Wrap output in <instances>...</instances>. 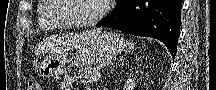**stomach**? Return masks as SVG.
Masks as SVG:
<instances>
[{
    "label": "stomach",
    "instance_id": "1",
    "mask_svg": "<svg viewBox=\"0 0 216 90\" xmlns=\"http://www.w3.org/2000/svg\"><path fill=\"white\" fill-rule=\"evenodd\" d=\"M126 47V42L119 34L105 31L89 40L79 50V59L84 64H97L120 54ZM65 57L46 58L38 67L43 78L59 76L66 71Z\"/></svg>",
    "mask_w": 216,
    "mask_h": 90
}]
</instances>
